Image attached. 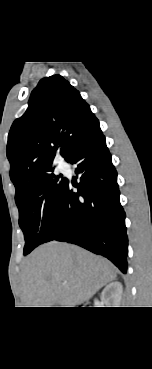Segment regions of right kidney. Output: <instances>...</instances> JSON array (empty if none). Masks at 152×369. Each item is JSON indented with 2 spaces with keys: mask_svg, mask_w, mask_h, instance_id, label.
<instances>
[{
  "mask_svg": "<svg viewBox=\"0 0 152 369\" xmlns=\"http://www.w3.org/2000/svg\"><path fill=\"white\" fill-rule=\"evenodd\" d=\"M123 286L120 282H111L108 284L102 294L101 300L107 307H118L121 301Z\"/></svg>",
  "mask_w": 152,
  "mask_h": 369,
  "instance_id": "ca27d5eb",
  "label": "right kidney"
}]
</instances>
